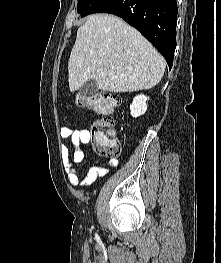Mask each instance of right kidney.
Wrapping results in <instances>:
<instances>
[{
    "mask_svg": "<svg viewBox=\"0 0 221 263\" xmlns=\"http://www.w3.org/2000/svg\"><path fill=\"white\" fill-rule=\"evenodd\" d=\"M147 100H149V97L143 94L134 97L132 104L130 105V111L132 117L137 118L146 112Z\"/></svg>",
    "mask_w": 221,
    "mask_h": 263,
    "instance_id": "ca27d5eb",
    "label": "right kidney"
}]
</instances>
